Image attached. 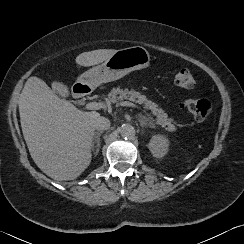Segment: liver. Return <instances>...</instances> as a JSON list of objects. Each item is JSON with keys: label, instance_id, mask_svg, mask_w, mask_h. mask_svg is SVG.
Returning <instances> with one entry per match:
<instances>
[{"label": "liver", "instance_id": "1", "mask_svg": "<svg viewBox=\"0 0 244 244\" xmlns=\"http://www.w3.org/2000/svg\"><path fill=\"white\" fill-rule=\"evenodd\" d=\"M114 49H98L79 54L75 62L93 66L108 59ZM53 90L40 78L30 77L19 98V114L23 137L35 164L49 177L74 180L89 166L95 135L96 111L78 110L63 97L67 86L52 83Z\"/></svg>", "mask_w": 244, "mask_h": 244}]
</instances>
